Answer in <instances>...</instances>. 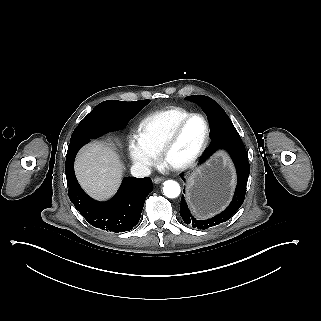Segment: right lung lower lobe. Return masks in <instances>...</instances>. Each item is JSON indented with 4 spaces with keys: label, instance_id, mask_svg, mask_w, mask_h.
Wrapping results in <instances>:
<instances>
[{
    "label": "right lung lower lobe",
    "instance_id": "right-lung-lower-lobe-1",
    "mask_svg": "<svg viewBox=\"0 0 321 321\" xmlns=\"http://www.w3.org/2000/svg\"><path fill=\"white\" fill-rule=\"evenodd\" d=\"M141 110L132 102L108 100L96 106V114L109 131L119 130ZM90 138L70 142L68 146L65 173L69 198L88 223L101 230L125 232L139 221L147 195L152 191V180L125 178L117 194L107 202L90 198L80 187L74 173V159L78 150Z\"/></svg>",
    "mask_w": 321,
    "mask_h": 321
}]
</instances>
